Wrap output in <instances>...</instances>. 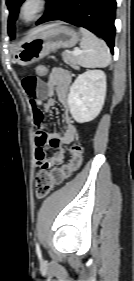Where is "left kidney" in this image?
Masks as SVG:
<instances>
[{
	"mask_svg": "<svg viewBox=\"0 0 134 281\" xmlns=\"http://www.w3.org/2000/svg\"><path fill=\"white\" fill-rule=\"evenodd\" d=\"M106 75L102 70H87L80 74L68 95L70 113L78 123L94 120L104 105Z\"/></svg>",
	"mask_w": 134,
	"mask_h": 281,
	"instance_id": "obj_1",
	"label": "left kidney"
}]
</instances>
